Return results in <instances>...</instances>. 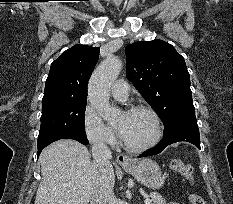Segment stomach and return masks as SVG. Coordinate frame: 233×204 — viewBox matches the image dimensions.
Here are the masks:
<instances>
[{"mask_svg": "<svg viewBox=\"0 0 233 204\" xmlns=\"http://www.w3.org/2000/svg\"><path fill=\"white\" fill-rule=\"evenodd\" d=\"M123 168L141 184L154 190L162 187L166 178L159 165L151 159L136 161L132 165Z\"/></svg>", "mask_w": 233, "mask_h": 204, "instance_id": "stomach-1", "label": "stomach"}]
</instances>
